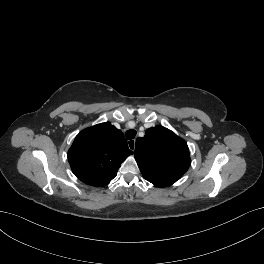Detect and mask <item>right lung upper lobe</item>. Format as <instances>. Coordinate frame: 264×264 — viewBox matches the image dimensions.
<instances>
[{
	"mask_svg": "<svg viewBox=\"0 0 264 264\" xmlns=\"http://www.w3.org/2000/svg\"><path fill=\"white\" fill-rule=\"evenodd\" d=\"M133 152L123 133L109 122L82 130L68 151L73 173L86 184L107 185Z\"/></svg>",
	"mask_w": 264,
	"mask_h": 264,
	"instance_id": "1",
	"label": "right lung upper lobe"
}]
</instances>
